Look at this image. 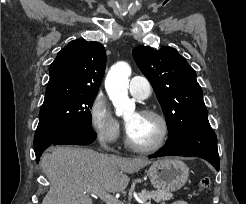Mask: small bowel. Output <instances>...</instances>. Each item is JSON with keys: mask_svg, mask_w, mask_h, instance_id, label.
Segmentation results:
<instances>
[{"mask_svg": "<svg viewBox=\"0 0 246 204\" xmlns=\"http://www.w3.org/2000/svg\"><path fill=\"white\" fill-rule=\"evenodd\" d=\"M172 204H189V203H187L185 201H176V202H174Z\"/></svg>", "mask_w": 246, "mask_h": 204, "instance_id": "1", "label": "small bowel"}]
</instances>
